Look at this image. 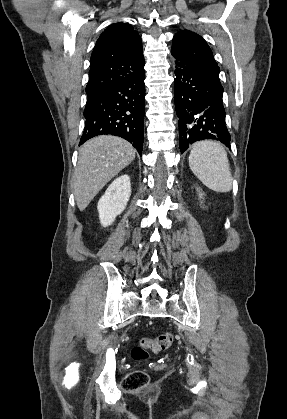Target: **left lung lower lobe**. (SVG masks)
I'll list each match as a JSON object with an SVG mask.
<instances>
[{
	"label": "left lung lower lobe",
	"mask_w": 287,
	"mask_h": 419,
	"mask_svg": "<svg viewBox=\"0 0 287 419\" xmlns=\"http://www.w3.org/2000/svg\"><path fill=\"white\" fill-rule=\"evenodd\" d=\"M219 72L220 69H187L175 65L174 100L181 153L190 144L204 139L218 140L230 148Z\"/></svg>",
	"instance_id": "obj_1"
}]
</instances>
